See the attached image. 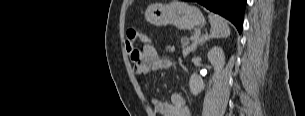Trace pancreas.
<instances>
[{"label": "pancreas", "mask_w": 305, "mask_h": 116, "mask_svg": "<svg viewBox=\"0 0 305 116\" xmlns=\"http://www.w3.org/2000/svg\"><path fill=\"white\" fill-rule=\"evenodd\" d=\"M192 39H194V37H192ZM194 40H196V39H194ZM181 43H182V47H183V54L186 56L193 50L194 46L189 45V39L187 37H183L181 39Z\"/></svg>", "instance_id": "cf45deb5"}]
</instances>
